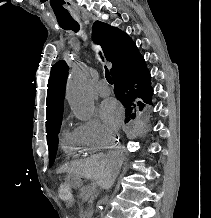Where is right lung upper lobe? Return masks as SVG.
I'll return each instance as SVG.
<instances>
[{
	"mask_svg": "<svg viewBox=\"0 0 211 218\" xmlns=\"http://www.w3.org/2000/svg\"><path fill=\"white\" fill-rule=\"evenodd\" d=\"M92 38L101 46L105 58L113 64L111 74L118 65L139 54L135 43L127 34L100 21H96L93 25ZM67 70L68 66L62 60L51 68L46 101L47 135L56 122L62 118Z\"/></svg>",
	"mask_w": 211,
	"mask_h": 218,
	"instance_id": "cb5924a9",
	"label": "right lung upper lobe"
}]
</instances>
